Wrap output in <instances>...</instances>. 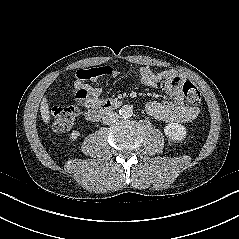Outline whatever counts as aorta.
Segmentation results:
<instances>
[{"instance_id":"aorta-1","label":"aorta","mask_w":239,"mask_h":239,"mask_svg":"<svg viewBox=\"0 0 239 239\" xmlns=\"http://www.w3.org/2000/svg\"><path fill=\"white\" fill-rule=\"evenodd\" d=\"M119 114L123 118H130L133 115V108L130 105H124L120 108Z\"/></svg>"}]
</instances>
